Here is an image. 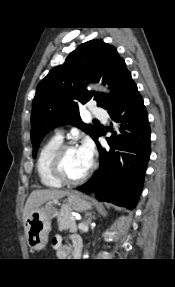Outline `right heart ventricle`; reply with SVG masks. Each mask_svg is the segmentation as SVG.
Returning a JSON list of instances; mask_svg holds the SVG:
<instances>
[{
	"mask_svg": "<svg viewBox=\"0 0 175 287\" xmlns=\"http://www.w3.org/2000/svg\"><path fill=\"white\" fill-rule=\"evenodd\" d=\"M61 144L62 138L53 136L41 146L37 156L36 171L39 180L42 185L49 188H60L63 184L52 175L50 168L52 155Z\"/></svg>",
	"mask_w": 175,
	"mask_h": 287,
	"instance_id": "e07e8e85",
	"label": "right heart ventricle"
}]
</instances>
